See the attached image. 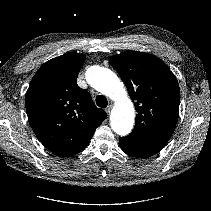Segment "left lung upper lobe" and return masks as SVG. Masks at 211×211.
<instances>
[{"label":"left lung upper lobe","instance_id":"1","mask_svg":"<svg viewBox=\"0 0 211 211\" xmlns=\"http://www.w3.org/2000/svg\"><path fill=\"white\" fill-rule=\"evenodd\" d=\"M124 81L137 111L130 135L170 139L180 102L178 81L160 59L137 51L109 58Z\"/></svg>","mask_w":211,"mask_h":211}]
</instances>
